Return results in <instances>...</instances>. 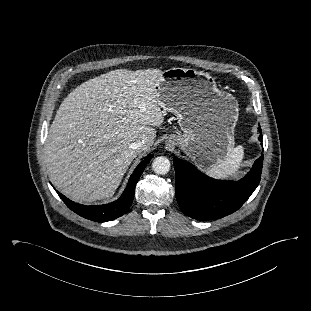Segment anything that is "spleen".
<instances>
[{
	"instance_id": "3e777b00",
	"label": "spleen",
	"mask_w": 311,
	"mask_h": 311,
	"mask_svg": "<svg viewBox=\"0 0 311 311\" xmlns=\"http://www.w3.org/2000/svg\"><path fill=\"white\" fill-rule=\"evenodd\" d=\"M244 158V149L241 145L232 151L220 163L211 166L206 173L213 178L225 179L237 174Z\"/></svg>"
}]
</instances>
